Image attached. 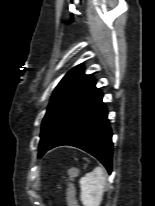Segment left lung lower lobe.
Wrapping results in <instances>:
<instances>
[{
	"mask_svg": "<svg viewBox=\"0 0 155 206\" xmlns=\"http://www.w3.org/2000/svg\"><path fill=\"white\" fill-rule=\"evenodd\" d=\"M63 145L74 146L92 154L111 173L112 132L102 97L88 108L73 126L46 151ZM46 151L40 153L38 157H41Z\"/></svg>",
	"mask_w": 155,
	"mask_h": 206,
	"instance_id": "1",
	"label": "left lung lower lobe"
}]
</instances>
